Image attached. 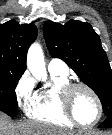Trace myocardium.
<instances>
[{"mask_svg":"<svg viewBox=\"0 0 112 135\" xmlns=\"http://www.w3.org/2000/svg\"><path fill=\"white\" fill-rule=\"evenodd\" d=\"M78 88H83L87 92H89L97 104V108H98L97 117L95 118V120L93 122L88 123V124L81 123L74 115V112L72 109L71 96H72L73 92ZM59 101H60V105H61V108H62L64 114L67 116V118L73 124H75L78 127H81V128L94 127L102 118V115H103L102 101H101L99 95L96 93V91L85 83L73 82V83H68L65 86H63L59 90Z\"/></svg>","mask_w":112,"mask_h":135,"instance_id":"1","label":"myocardium"}]
</instances>
